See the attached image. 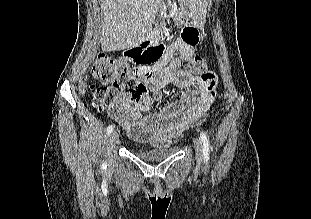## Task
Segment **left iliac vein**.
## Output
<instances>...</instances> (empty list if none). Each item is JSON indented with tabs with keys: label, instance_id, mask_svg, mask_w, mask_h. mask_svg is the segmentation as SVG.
I'll return each mask as SVG.
<instances>
[{
	"label": "left iliac vein",
	"instance_id": "1",
	"mask_svg": "<svg viewBox=\"0 0 311 219\" xmlns=\"http://www.w3.org/2000/svg\"><path fill=\"white\" fill-rule=\"evenodd\" d=\"M193 144H194L196 159H197L198 162H201L202 158H203L201 141L198 138H195L193 140Z\"/></svg>",
	"mask_w": 311,
	"mask_h": 219
}]
</instances>
